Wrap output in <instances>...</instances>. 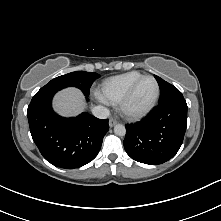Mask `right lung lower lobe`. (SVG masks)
<instances>
[{
    "instance_id": "obj_1",
    "label": "right lung lower lobe",
    "mask_w": 221,
    "mask_h": 221,
    "mask_svg": "<svg viewBox=\"0 0 221 221\" xmlns=\"http://www.w3.org/2000/svg\"><path fill=\"white\" fill-rule=\"evenodd\" d=\"M54 94L32 98L27 116L32 138L42 156L52 165L79 168L92 161L100 151L109 130L108 119L88 113L74 118L57 115L51 107Z\"/></svg>"
}]
</instances>
